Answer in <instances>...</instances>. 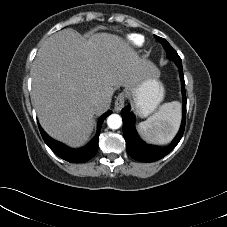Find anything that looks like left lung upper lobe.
<instances>
[{
    "mask_svg": "<svg viewBox=\"0 0 227 227\" xmlns=\"http://www.w3.org/2000/svg\"><path fill=\"white\" fill-rule=\"evenodd\" d=\"M157 40L163 45L164 49L167 52V56L169 59L173 60L176 65H182L181 58L177 54V52L172 48V46L164 39L159 36H155Z\"/></svg>",
    "mask_w": 227,
    "mask_h": 227,
    "instance_id": "obj_1",
    "label": "left lung upper lobe"
}]
</instances>
